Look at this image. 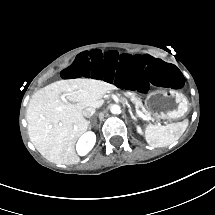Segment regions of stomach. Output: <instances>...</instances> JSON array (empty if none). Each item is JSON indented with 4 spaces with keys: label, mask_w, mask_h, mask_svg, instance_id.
<instances>
[{
    "label": "stomach",
    "mask_w": 215,
    "mask_h": 215,
    "mask_svg": "<svg viewBox=\"0 0 215 215\" xmlns=\"http://www.w3.org/2000/svg\"><path fill=\"white\" fill-rule=\"evenodd\" d=\"M145 108L155 118L176 120L187 113L188 100L181 92L158 89L147 95Z\"/></svg>",
    "instance_id": "1"
}]
</instances>
